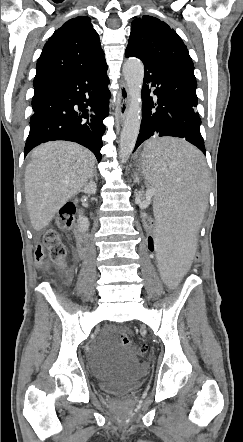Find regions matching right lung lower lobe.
<instances>
[{"label": "right lung lower lobe", "mask_w": 243, "mask_h": 442, "mask_svg": "<svg viewBox=\"0 0 243 442\" xmlns=\"http://www.w3.org/2000/svg\"><path fill=\"white\" fill-rule=\"evenodd\" d=\"M108 83L106 64L34 81L33 114L24 156L41 143L67 140L87 147L100 162L103 119L109 112ZM89 109L96 115H88Z\"/></svg>", "instance_id": "1"}]
</instances>
